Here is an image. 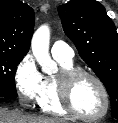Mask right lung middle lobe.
Here are the masks:
<instances>
[{"label":"right lung middle lobe","mask_w":118,"mask_h":123,"mask_svg":"<svg viewBox=\"0 0 118 123\" xmlns=\"http://www.w3.org/2000/svg\"><path fill=\"white\" fill-rule=\"evenodd\" d=\"M24 56L0 52V97H17L15 73Z\"/></svg>","instance_id":"right-lung-middle-lobe-1"}]
</instances>
